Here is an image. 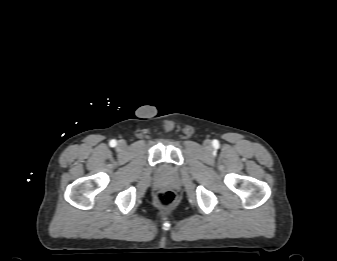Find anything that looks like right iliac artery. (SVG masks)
<instances>
[{
  "label": "right iliac artery",
  "mask_w": 337,
  "mask_h": 261,
  "mask_svg": "<svg viewBox=\"0 0 337 261\" xmlns=\"http://www.w3.org/2000/svg\"><path fill=\"white\" fill-rule=\"evenodd\" d=\"M116 144H117L116 140H111V141H110V146H111V147H115Z\"/></svg>",
  "instance_id": "right-iliac-artery-1"
}]
</instances>
